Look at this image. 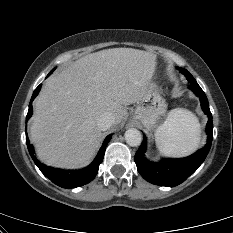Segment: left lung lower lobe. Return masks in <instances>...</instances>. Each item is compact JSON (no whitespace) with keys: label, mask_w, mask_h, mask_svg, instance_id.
<instances>
[{"label":"left lung lower lobe","mask_w":233,"mask_h":233,"mask_svg":"<svg viewBox=\"0 0 233 233\" xmlns=\"http://www.w3.org/2000/svg\"><path fill=\"white\" fill-rule=\"evenodd\" d=\"M189 88L200 98L202 110L208 115L206 125V132L208 134L207 144L204 148L189 157L182 159H163L160 163H154L146 160L144 157L146 140L143 139L141 146L136 152L135 163L141 176L152 184L167 187H174L181 184L199 168L210 150L213 121L208 99L197 82H192Z\"/></svg>","instance_id":"obj_1"}]
</instances>
